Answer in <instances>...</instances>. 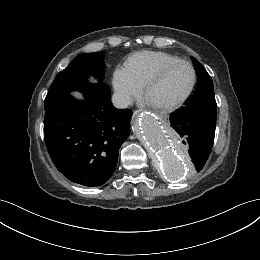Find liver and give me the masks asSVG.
<instances>
[{
	"label": "liver",
	"mask_w": 260,
	"mask_h": 260,
	"mask_svg": "<svg viewBox=\"0 0 260 260\" xmlns=\"http://www.w3.org/2000/svg\"><path fill=\"white\" fill-rule=\"evenodd\" d=\"M73 95L76 97V98H82V96H81V94H79V93H77V92H75V93H73Z\"/></svg>",
	"instance_id": "6515ba94"
}]
</instances>
